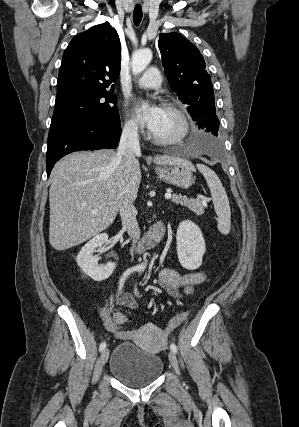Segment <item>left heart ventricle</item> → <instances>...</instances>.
Wrapping results in <instances>:
<instances>
[{
	"mask_svg": "<svg viewBox=\"0 0 299 427\" xmlns=\"http://www.w3.org/2000/svg\"><path fill=\"white\" fill-rule=\"evenodd\" d=\"M179 130L180 124L177 117L173 113L163 109L159 122L152 133L160 137H171L176 135Z\"/></svg>",
	"mask_w": 299,
	"mask_h": 427,
	"instance_id": "1",
	"label": "left heart ventricle"
}]
</instances>
